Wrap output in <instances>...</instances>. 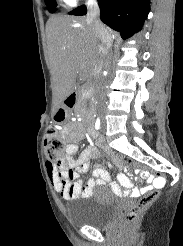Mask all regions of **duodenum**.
<instances>
[{
	"instance_id": "obj_1",
	"label": "duodenum",
	"mask_w": 183,
	"mask_h": 246,
	"mask_svg": "<svg viewBox=\"0 0 183 246\" xmlns=\"http://www.w3.org/2000/svg\"><path fill=\"white\" fill-rule=\"evenodd\" d=\"M65 103L68 109H77V103H78L77 94L75 92L71 93L67 97ZM91 140L96 141L97 144H100V147L103 148L104 151L108 150V147L105 146L106 141L104 139V136H92Z\"/></svg>"
}]
</instances>
